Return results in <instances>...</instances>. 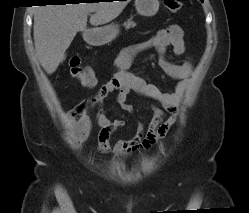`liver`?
<instances>
[{"mask_svg": "<svg viewBox=\"0 0 249 213\" xmlns=\"http://www.w3.org/2000/svg\"><path fill=\"white\" fill-rule=\"evenodd\" d=\"M129 1L38 6L34 12V44L46 73H54L65 60V52L76 33L86 29L90 13L94 12L90 24L102 25L119 16Z\"/></svg>", "mask_w": 249, "mask_h": 213, "instance_id": "1", "label": "liver"}]
</instances>
